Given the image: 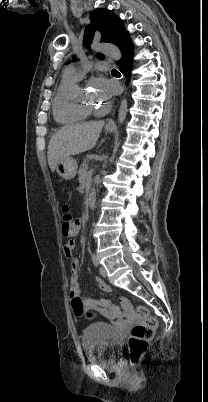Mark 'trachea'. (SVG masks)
Instances as JSON below:
<instances>
[{
    "label": "trachea",
    "mask_w": 208,
    "mask_h": 402,
    "mask_svg": "<svg viewBox=\"0 0 208 402\" xmlns=\"http://www.w3.org/2000/svg\"><path fill=\"white\" fill-rule=\"evenodd\" d=\"M112 72H118L117 70H112Z\"/></svg>",
    "instance_id": "trachea-1"
}]
</instances>
